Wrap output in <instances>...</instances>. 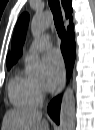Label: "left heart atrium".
<instances>
[{
	"label": "left heart atrium",
	"instance_id": "left-heart-atrium-1",
	"mask_svg": "<svg viewBox=\"0 0 95 130\" xmlns=\"http://www.w3.org/2000/svg\"><path fill=\"white\" fill-rule=\"evenodd\" d=\"M46 81L49 86H55L61 80L64 64L58 51L49 52L43 59Z\"/></svg>",
	"mask_w": 95,
	"mask_h": 130
}]
</instances>
